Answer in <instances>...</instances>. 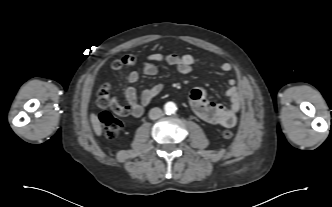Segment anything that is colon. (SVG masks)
Instances as JSON below:
<instances>
[{"label": "colon", "mask_w": 332, "mask_h": 207, "mask_svg": "<svg viewBox=\"0 0 332 207\" xmlns=\"http://www.w3.org/2000/svg\"><path fill=\"white\" fill-rule=\"evenodd\" d=\"M134 58L130 55H126L119 60H116L112 64L114 71L119 70L124 65H132ZM111 83L106 82L102 84L96 94L97 105L102 109L110 108L117 115H124L128 112L126 106L120 105L116 100L110 98ZM100 120L103 124L105 134L108 138L114 139L119 136L123 128V123L112 113L105 110L100 114ZM225 139H232L234 134L230 130H225L222 133Z\"/></svg>", "instance_id": "5ec220e1"}]
</instances>
